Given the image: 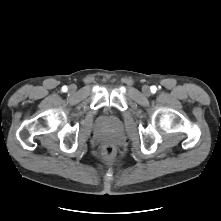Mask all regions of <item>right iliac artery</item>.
Segmentation results:
<instances>
[{
    "label": "right iliac artery",
    "instance_id": "obj_1",
    "mask_svg": "<svg viewBox=\"0 0 221 221\" xmlns=\"http://www.w3.org/2000/svg\"><path fill=\"white\" fill-rule=\"evenodd\" d=\"M67 89H68L67 86H63V87H62V91H63V92H66Z\"/></svg>",
    "mask_w": 221,
    "mask_h": 221
}]
</instances>
